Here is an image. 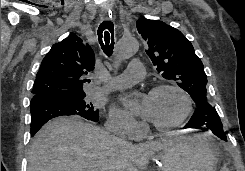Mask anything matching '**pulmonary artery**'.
<instances>
[{
	"instance_id": "obj_1",
	"label": "pulmonary artery",
	"mask_w": 245,
	"mask_h": 171,
	"mask_svg": "<svg viewBox=\"0 0 245 171\" xmlns=\"http://www.w3.org/2000/svg\"><path fill=\"white\" fill-rule=\"evenodd\" d=\"M143 76V64L140 60L134 59L129 63L128 69L125 72L113 77L107 86L94 88L93 92L96 94H102L108 91L124 89L143 78Z\"/></svg>"
}]
</instances>
